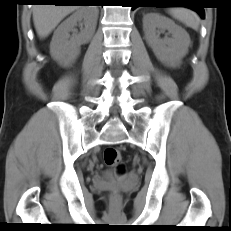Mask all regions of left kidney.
I'll return each instance as SVG.
<instances>
[{
	"label": "left kidney",
	"mask_w": 231,
	"mask_h": 231,
	"mask_svg": "<svg viewBox=\"0 0 231 231\" xmlns=\"http://www.w3.org/2000/svg\"><path fill=\"white\" fill-rule=\"evenodd\" d=\"M143 29L146 41L156 57L167 66L179 65L190 45V37L186 30L157 13H149L143 17ZM157 29L167 30L171 37L161 39Z\"/></svg>",
	"instance_id": "obj_1"
}]
</instances>
